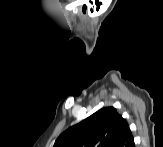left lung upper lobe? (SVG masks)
<instances>
[{
    "label": "left lung upper lobe",
    "instance_id": "obj_1",
    "mask_svg": "<svg viewBox=\"0 0 163 147\" xmlns=\"http://www.w3.org/2000/svg\"><path fill=\"white\" fill-rule=\"evenodd\" d=\"M126 127L115 108H102L64 131L53 147H115Z\"/></svg>",
    "mask_w": 163,
    "mask_h": 147
}]
</instances>
